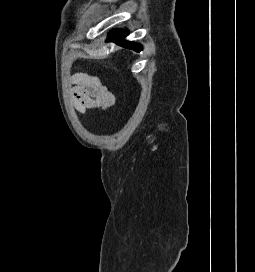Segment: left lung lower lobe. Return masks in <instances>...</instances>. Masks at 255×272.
<instances>
[{
  "label": "left lung lower lobe",
  "mask_w": 255,
  "mask_h": 272,
  "mask_svg": "<svg viewBox=\"0 0 255 272\" xmlns=\"http://www.w3.org/2000/svg\"><path fill=\"white\" fill-rule=\"evenodd\" d=\"M127 34L128 32L123 29L112 30L109 34V37L107 38V41L115 42L120 46L140 52L142 50V46L140 44L129 42V41H123V39L127 36Z\"/></svg>",
  "instance_id": "left-lung-lower-lobe-1"
}]
</instances>
